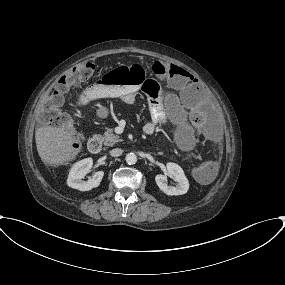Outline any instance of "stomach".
<instances>
[{"instance_id": "stomach-1", "label": "stomach", "mask_w": 285, "mask_h": 285, "mask_svg": "<svg viewBox=\"0 0 285 285\" xmlns=\"http://www.w3.org/2000/svg\"><path fill=\"white\" fill-rule=\"evenodd\" d=\"M97 116L99 118H106L108 116V110L103 106L99 107L97 110Z\"/></svg>"}]
</instances>
